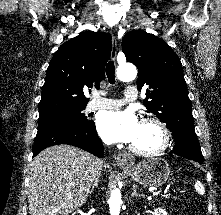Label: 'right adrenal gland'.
<instances>
[{
	"mask_svg": "<svg viewBox=\"0 0 221 215\" xmlns=\"http://www.w3.org/2000/svg\"><path fill=\"white\" fill-rule=\"evenodd\" d=\"M100 176H101V174H99V175L95 178V181H94V183L92 184V187H91V190L89 191V194H91V193L93 192L94 188L98 186Z\"/></svg>",
	"mask_w": 221,
	"mask_h": 215,
	"instance_id": "obj_1",
	"label": "right adrenal gland"
}]
</instances>
